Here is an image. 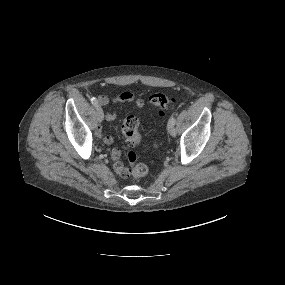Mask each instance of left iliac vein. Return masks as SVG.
I'll use <instances>...</instances> for the list:
<instances>
[{"label": "left iliac vein", "mask_w": 285, "mask_h": 285, "mask_svg": "<svg viewBox=\"0 0 285 285\" xmlns=\"http://www.w3.org/2000/svg\"><path fill=\"white\" fill-rule=\"evenodd\" d=\"M168 132L172 135L175 136L177 134V130L174 126V124L168 123Z\"/></svg>", "instance_id": "4c4485c4"}]
</instances>
